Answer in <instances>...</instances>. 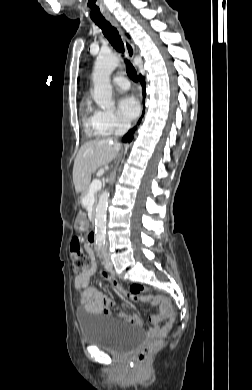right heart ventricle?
<instances>
[{
    "label": "right heart ventricle",
    "mask_w": 252,
    "mask_h": 390,
    "mask_svg": "<svg viewBox=\"0 0 252 390\" xmlns=\"http://www.w3.org/2000/svg\"><path fill=\"white\" fill-rule=\"evenodd\" d=\"M91 108L90 106H87L86 108V113L89 114ZM85 131L87 133V135L89 136H93V135H98L96 134L95 130H94V119H93V116H87L86 119H85ZM100 136V135H98Z\"/></svg>",
    "instance_id": "right-heart-ventricle-1"
}]
</instances>
